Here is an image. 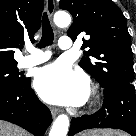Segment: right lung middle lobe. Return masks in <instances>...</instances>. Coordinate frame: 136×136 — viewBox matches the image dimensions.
<instances>
[{
    "instance_id": "obj_1",
    "label": "right lung middle lobe",
    "mask_w": 136,
    "mask_h": 136,
    "mask_svg": "<svg viewBox=\"0 0 136 136\" xmlns=\"http://www.w3.org/2000/svg\"><path fill=\"white\" fill-rule=\"evenodd\" d=\"M17 63H0V89H11L23 81Z\"/></svg>"
}]
</instances>
